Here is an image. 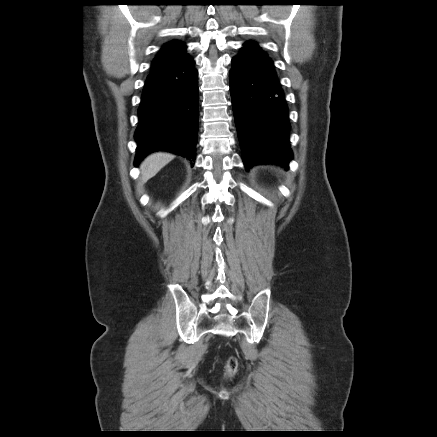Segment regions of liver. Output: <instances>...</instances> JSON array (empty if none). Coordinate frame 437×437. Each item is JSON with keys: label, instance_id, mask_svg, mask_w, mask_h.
<instances>
[{"label": "liver", "instance_id": "liver-1", "mask_svg": "<svg viewBox=\"0 0 437 437\" xmlns=\"http://www.w3.org/2000/svg\"><path fill=\"white\" fill-rule=\"evenodd\" d=\"M173 158L174 155L165 152H157L147 156L140 166L142 182L154 177Z\"/></svg>", "mask_w": 437, "mask_h": 437}]
</instances>
